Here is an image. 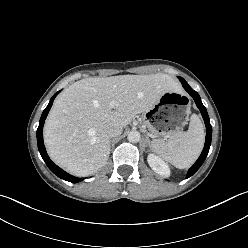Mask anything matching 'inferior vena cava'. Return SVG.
<instances>
[{
    "instance_id": "inferior-vena-cava-1",
    "label": "inferior vena cava",
    "mask_w": 248,
    "mask_h": 248,
    "mask_svg": "<svg viewBox=\"0 0 248 248\" xmlns=\"http://www.w3.org/2000/svg\"><path fill=\"white\" fill-rule=\"evenodd\" d=\"M122 133V126L118 124H110L106 129V134L108 137H116Z\"/></svg>"
}]
</instances>
